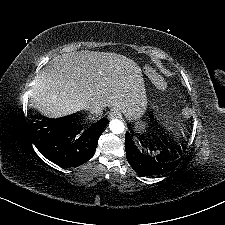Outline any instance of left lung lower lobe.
<instances>
[{
  "instance_id": "1",
  "label": "left lung lower lobe",
  "mask_w": 225,
  "mask_h": 225,
  "mask_svg": "<svg viewBox=\"0 0 225 225\" xmlns=\"http://www.w3.org/2000/svg\"><path fill=\"white\" fill-rule=\"evenodd\" d=\"M148 144L151 148L155 142L153 141ZM185 147V144H182V147L179 145L172 146L170 152L162 149L161 154L152 157L144 153V151L139 150L128 132L125 136L127 160L132 168L142 176L160 175L174 169L184 158L182 151H184Z\"/></svg>"
}]
</instances>
